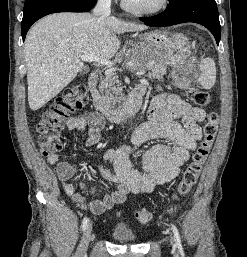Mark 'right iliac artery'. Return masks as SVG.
Returning <instances> with one entry per match:
<instances>
[{"label":"right iliac artery","instance_id":"right-iliac-artery-1","mask_svg":"<svg viewBox=\"0 0 247 257\" xmlns=\"http://www.w3.org/2000/svg\"><path fill=\"white\" fill-rule=\"evenodd\" d=\"M87 223H88V218L84 217V219L82 221V226H81L82 230H85Z\"/></svg>","mask_w":247,"mask_h":257}]
</instances>
